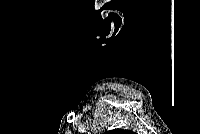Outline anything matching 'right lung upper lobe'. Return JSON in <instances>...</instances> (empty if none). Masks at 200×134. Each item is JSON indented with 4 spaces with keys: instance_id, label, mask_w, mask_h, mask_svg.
<instances>
[{
    "instance_id": "right-lung-upper-lobe-1",
    "label": "right lung upper lobe",
    "mask_w": 200,
    "mask_h": 134,
    "mask_svg": "<svg viewBox=\"0 0 200 134\" xmlns=\"http://www.w3.org/2000/svg\"><path fill=\"white\" fill-rule=\"evenodd\" d=\"M107 133H112V134H122V133H128V131L127 130H122V129H115V130H111V131H109V132H107Z\"/></svg>"
}]
</instances>
